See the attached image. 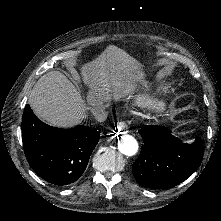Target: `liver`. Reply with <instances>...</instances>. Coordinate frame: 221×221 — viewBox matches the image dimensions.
<instances>
[{
	"label": "liver",
	"mask_w": 221,
	"mask_h": 221,
	"mask_svg": "<svg viewBox=\"0 0 221 221\" xmlns=\"http://www.w3.org/2000/svg\"><path fill=\"white\" fill-rule=\"evenodd\" d=\"M112 49L105 47L97 58L80 66L82 80L88 86L86 100L61 72L43 74L29 95L34 114L51 126L70 129L84 122L88 105L109 106L118 96L120 102L128 100L136 83L129 68L116 61L122 53H111Z\"/></svg>",
	"instance_id": "liver-1"
}]
</instances>
